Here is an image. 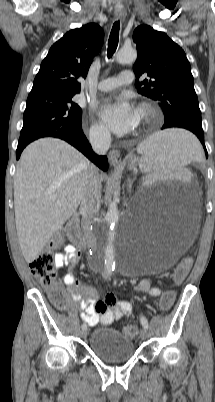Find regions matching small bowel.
Instances as JSON below:
<instances>
[{
  "label": "small bowel",
  "mask_w": 215,
  "mask_h": 402,
  "mask_svg": "<svg viewBox=\"0 0 215 402\" xmlns=\"http://www.w3.org/2000/svg\"><path fill=\"white\" fill-rule=\"evenodd\" d=\"M78 258L79 253L75 247L66 245L62 253L56 254L55 262L59 268L69 267L63 282L71 300L77 303L78 309L81 311L82 321L89 326L109 325L121 317L130 316L134 310L133 302L117 300L113 295H107L103 300H98L97 292L93 287L77 281L74 275V265ZM136 289L151 297L161 294V290L152 286L150 280H142L136 285Z\"/></svg>",
  "instance_id": "small-bowel-1"
}]
</instances>
